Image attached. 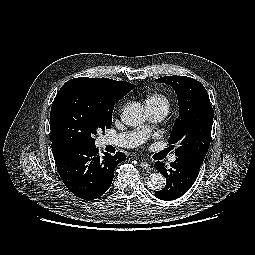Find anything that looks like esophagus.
Segmentation results:
<instances>
[{
    "label": "esophagus",
    "instance_id": "obj_1",
    "mask_svg": "<svg viewBox=\"0 0 255 255\" xmlns=\"http://www.w3.org/2000/svg\"><path fill=\"white\" fill-rule=\"evenodd\" d=\"M140 166H141L143 169H145V170H149V171L153 170V167H152L148 162H143V161H141V162H140Z\"/></svg>",
    "mask_w": 255,
    "mask_h": 255
}]
</instances>
